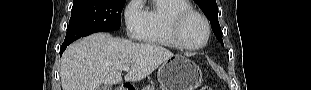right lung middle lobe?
Wrapping results in <instances>:
<instances>
[{
    "label": "right lung middle lobe",
    "instance_id": "dd1d6c3e",
    "mask_svg": "<svg viewBox=\"0 0 311 90\" xmlns=\"http://www.w3.org/2000/svg\"><path fill=\"white\" fill-rule=\"evenodd\" d=\"M125 0H74L63 44L95 32L117 30Z\"/></svg>",
    "mask_w": 311,
    "mask_h": 90
}]
</instances>
